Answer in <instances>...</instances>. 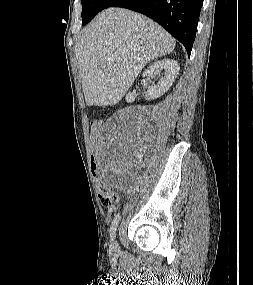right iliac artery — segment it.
<instances>
[{
    "label": "right iliac artery",
    "mask_w": 253,
    "mask_h": 285,
    "mask_svg": "<svg viewBox=\"0 0 253 285\" xmlns=\"http://www.w3.org/2000/svg\"><path fill=\"white\" fill-rule=\"evenodd\" d=\"M119 220H120V215L119 213L115 215V218L111 224V227H110V237H111V240H114L115 238V233H116V230H117V226H118V223H119Z\"/></svg>",
    "instance_id": "1"
}]
</instances>
